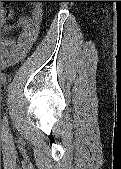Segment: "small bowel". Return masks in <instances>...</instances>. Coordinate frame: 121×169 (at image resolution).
Listing matches in <instances>:
<instances>
[{
	"label": "small bowel",
	"mask_w": 121,
	"mask_h": 169,
	"mask_svg": "<svg viewBox=\"0 0 121 169\" xmlns=\"http://www.w3.org/2000/svg\"><path fill=\"white\" fill-rule=\"evenodd\" d=\"M14 17L12 10L4 11L2 14L1 39V64L9 67L23 59L34 45L40 29L42 11L40 8H34L29 16L18 19L15 23H10ZM14 27H20L21 31L14 35H8Z\"/></svg>",
	"instance_id": "small-bowel-1"
}]
</instances>
